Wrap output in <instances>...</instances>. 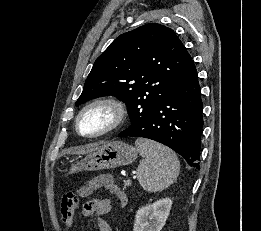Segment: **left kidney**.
<instances>
[{"label":"left kidney","instance_id":"5707ae66","mask_svg":"<svg viewBox=\"0 0 261 231\" xmlns=\"http://www.w3.org/2000/svg\"><path fill=\"white\" fill-rule=\"evenodd\" d=\"M171 206L172 200L164 198L139 208L135 216L133 231H161Z\"/></svg>","mask_w":261,"mask_h":231}]
</instances>
